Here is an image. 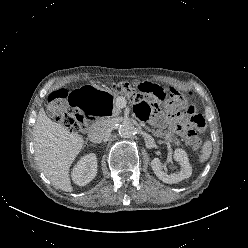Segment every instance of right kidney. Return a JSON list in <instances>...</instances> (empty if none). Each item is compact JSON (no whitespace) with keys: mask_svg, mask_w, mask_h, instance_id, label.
I'll use <instances>...</instances> for the list:
<instances>
[{"mask_svg":"<svg viewBox=\"0 0 248 248\" xmlns=\"http://www.w3.org/2000/svg\"><path fill=\"white\" fill-rule=\"evenodd\" d=\"M97 174V157L90 153L82 157L72 170L71 176L75 184L87 185Z\"/></svg>","mask_w":248,"mask_h":248,"instance_id":"right-kidney-1","label":"right kidney"}]
</instances>
